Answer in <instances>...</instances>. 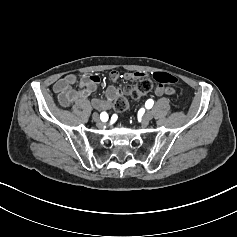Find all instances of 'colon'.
Wrapping results in <instances>:
<instances>
[{"instance_id": "colon-1", "label": "colon", "mask_w": 237, "mask_h": 237, "mask_svg": "<svg viewBox=\"0 0 237 237\" xmlns=\"http://www.w3.org/2000/svg\"><path fill=\"white\" fill-rule=\"evenodd\" d=\"M153 78L160 84H175L178 82V79L166 72H155ZM153 88V83L149 78H143L139 80L133 87L128 91V94L134 98L138 99L147 93H149ZM129 106V101L126 96H120L114 103V109L117 112H123L127 110Z\"/></svg>"}]
</instances>
